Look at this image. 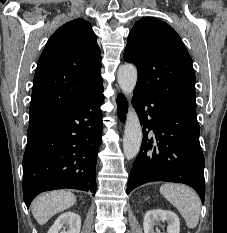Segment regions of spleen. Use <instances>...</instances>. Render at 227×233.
<instances>
[{
    "label": "spleen",
    "instance_id": "3e777b00",
    "mask_svg": "<svg viewBox=\"0 0 227 233\" xmlns=\"http://www.w3.org/2000/svg\"><path fill=\"white\" fill-rule=\"evenodd\" d=\"M160 193L177 208L188 228L194 229L198 225L200 200L190 187L182 184L165 183L160 187Z\"/></svg>",
    "mask_w": 227,
    "mask_h": 233
}]
</instances>
